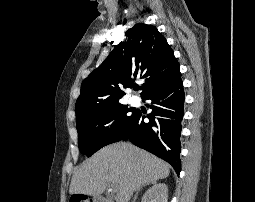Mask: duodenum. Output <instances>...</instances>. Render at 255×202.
Masks as SVG:
<instances>
[{
  "label": "duodenum",
  "mask_w": 255,
  "mask_h": 202,
  "mask_svg": "<svg viewBox=\"0 0 255 202\" xmlns=\"http://www.w3.org/2000/svg\"><path fill=\"white\" fill-rule=\"evenodd\" d=\"M91 202H106V200L101 196H94L92 197Z\"/></svg>",
  "instance_id": "obj_1"
}]
</instances>
